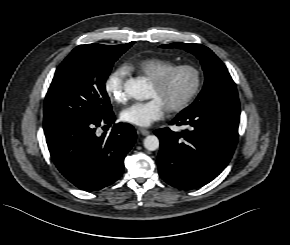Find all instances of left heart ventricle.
<instances>
[{"instance_id": "left-heart-ventricle-1", "label": "left heart ventricle", "mask_w": 290, "mask_h": 245, "mask_svg": "<svg viewBox=\"0 0 290 245\" xmlns=\"http://www.w3.org/2000/svg\"><path fill=\"white\" fill-rule=\"evenodd\" d=\"M195 81V76L192 72L183 70L172 76L167 86L161 90L157 89L153 84L149 92L150 98H158L163 105L168 108L182 98L191 90Z\"/></svg>"}]
</instances>
